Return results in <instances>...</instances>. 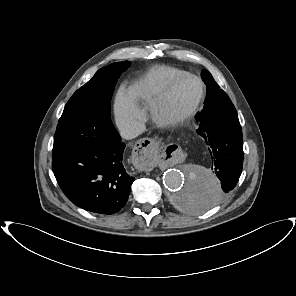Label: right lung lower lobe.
<instances>
[{
    "instance_id": "98d812e1",
    "label": "right lung lower lobe",
    "mask_w": 296,
    "mask_h": 296,
    "mask_svg": "<svg viewBox=\"0 0 296 296\" xmlns=\"http://www.w3.org/2000/svg\"><path fill=\"white\" fill-rule=\"evenodd\" d=\"M124 148L118 134L117 140L110 145L82 147L53 155L52 170L66 197L93 213L111 215L119 212L125 206L135 180L122 164Z\"/></svg>"
}]
</instances>
